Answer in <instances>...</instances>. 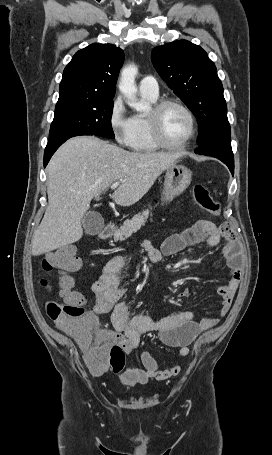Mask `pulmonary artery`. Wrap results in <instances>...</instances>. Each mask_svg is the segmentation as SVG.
<instances>
[{
	"instance_id": "1",
	"label": "pulmonary artery",
	"mask_w": 272,
	"mask_h": 455,
	"mask_svg": "<svg viewBox=\"0 0 272 455\" xmlns=\"http://www.w3.org/2000/svg\"><path fill=\"white\" fill-rule=\"evenodd\" d=\"M139 90L141 94H146L156 97L159 94V86L157 80L153 76H145L139 83Z\"/></svg>"
}]
</instances>
